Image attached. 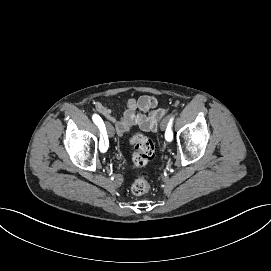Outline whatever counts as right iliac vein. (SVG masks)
Listing matches in <instances>:
<instances>
[{
  "instance_id": "63e3f726",
  "label": "right iliac vein",
  "mask_w": 271,
  "mask_h": 271,
  "mask_svg": "<svg viewBox=\"0 0 271 271\" xmlns=\"http://www.w3.org/2000/svg\"><path fill=\"white\" fill-rule=\"evenodd\" d=\"M106 130H107V133H108L109 137H113L114 136V129L111 126L110 123H106Z\"/></svg>"
}]
</instances>
